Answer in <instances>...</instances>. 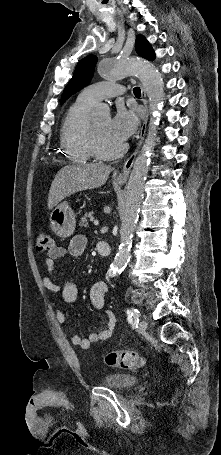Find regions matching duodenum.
Instances as JSON below:
<instances>
[{
    "label": "duodenum",
    "instance_id": "410a0bca",
    "mask_svg": "<svg viewBox=\"0 0 221 455\" xmlns=\"http://www.w3.org/2000/svg\"><path fill=\"white\" fill-rule=\"evenodd\" d=\"M96 249L97 252L103 256H108L111 252L110 244L103 240L97 242Z\"/></svg>",
    "mask_w": 221,
    "mask_h": 455
}]
</instances>
